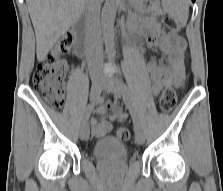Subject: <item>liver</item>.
<instances>
[{"instance_id":"obj_1","label":"liver","mask_w":223,"mask_h":191,"mask_svg":"<svg viewBox=\"0 0 223 191\" xmlns=\"http://www.w3.org/2000/svg\"><path fill=\"white\" fill-rule=\"evenodd\" d=\"M36 34V53L43 61L62 35L81 16L85 0H26Z\"/></svg>"}]
</instances>
